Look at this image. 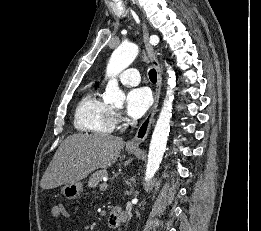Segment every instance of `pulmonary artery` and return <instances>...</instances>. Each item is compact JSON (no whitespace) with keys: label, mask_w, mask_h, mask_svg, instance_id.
I'll return each mask as SVG.
<instances>
[{"label":"pulmonary artery","mask_w":261,"mask_h":231,"mask_svg":"<svg viewBox=\"0 0 261 231\" xmlns=\"http://www.w3.org/2000/svg\"><path fill=\"white\" fill-rule=\"evenodd\" d=\"M122 84L135 86L140 82V74L136 68H128L126 69L120 78Z\"/></svg>","instance_id":"1"}]
</instances>
